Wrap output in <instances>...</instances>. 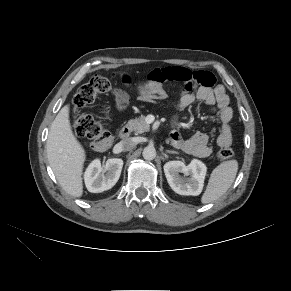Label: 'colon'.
Returning a JSON list of instances; mask_svg holds the SVG:
<instances>
[{
  "mask_svg": "<svg viewBox=\"0 0 291 291\" xmlns=\"http://www.w3.org/2000/svg\"><path fill=\"white\" fill-rule=\"evenodd\" d=\"M122 84L128 85L131 80L124 77ZM115 81L104 75L93 76L86 84L82 85L76 92L72 102L73 127L76 134L90 140L88 147L91 150L101 151L109 147L112 142L111 133L106 130L91 115L84 113L83 109L91 104L97 95L109 92ZM221 160H230L234 156L232 148L222 146L217 152Z\"/></svg>",
  "mask_w": 291,
  "mask_h": 291,
  "instance_id": "1",
  "label": "colon"
}]
</instances>
